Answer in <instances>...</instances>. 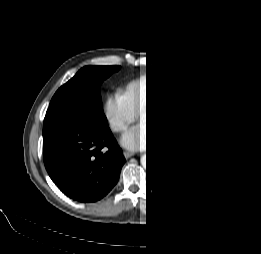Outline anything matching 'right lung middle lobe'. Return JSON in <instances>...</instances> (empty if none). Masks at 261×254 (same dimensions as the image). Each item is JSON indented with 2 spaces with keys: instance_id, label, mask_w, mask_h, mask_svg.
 Instances as JSON below:
<instances>
[{
  "instance_id": "right-lung-middle-lobe-1",
  "label": "right lung middle lobe",
  "mask_w": 261,
  "mask_h": 254,
  "mask_svg": "<svg viewBox=\"0 0 261 254\" xmlns=\"http://www.w3.org/2000/svg\"><path fill=\"white\" fill-rule=\"evenodd\" d=\"M119 66H86L54 94L47 112L73 111L98 127H108L102 109L100 85Z\"/></svg>"
}]
</instances>
